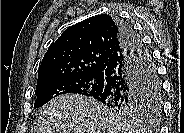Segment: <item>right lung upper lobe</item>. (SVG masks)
<instances>
[{"label": "right lung upper lobe", "mask_w": 184, "mask_h": 133, "mask_svg": "<svg viewBox=\"0 0 184 133\" xmlns=\"http://www.w3.org/2000/svg\"><path fill=\"white\" fill-rule=\"evenodd\" d=\"M120 36L117 19L107 14L68 27L44 55L36 89L64 77L103 75Z\"/></svg>", "instance_id": "1"}]
</instances>
